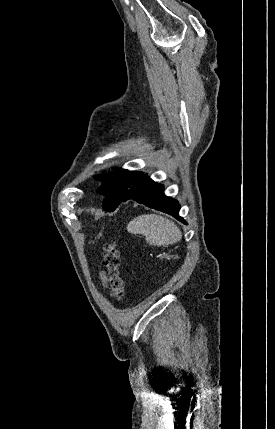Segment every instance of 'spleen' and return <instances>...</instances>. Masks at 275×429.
I'll use <instances>...</instances> for the list:
<instances>
[{
	"mask_svg": "<svg viewBox=\"0 0 275 429\" xmlns=\"http://www.w3.org/2000/svg\"><path fill=\"white\" fill-rule=\"evenodd\" d=\"M128 232L145 236L150 245L165 246L176 243L182 237L178 226L157 214H144L127 225Z\"/></svg>",
	"mask_w": 275,
	"mask_h": 429,
	"instance_id": "1",
	"label": "spleen"
}]
</instances>
